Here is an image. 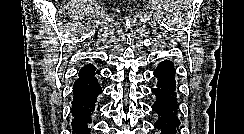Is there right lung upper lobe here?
Masks as SVG:
<instances>
[{
  "mask_svg": "<svg viewBox=\"0 0 244 134\" xmlns=\"http://www.w3.org/2000/svg\"><path fill=\"white\" fill-rule=\"evenodd\" d=\"M95 73L99 74L98 71H96V68L92 64L85 65L83 68L79 71V77H91L95 76Z\"/></svg>",
  "mask_w": 244,
  "mask_h": 134,
  "instance_id": "1",
  "label": "right lung upper lobe"
}]
</instances>
